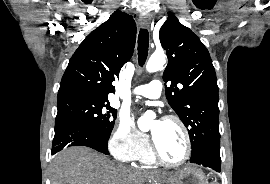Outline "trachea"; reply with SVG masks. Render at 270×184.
Masks as SVG:
<instances>
[{
	"label": "trachea",
	"mask_w": 270,
	"mask_h": 184,
	"mask_svg": "<svg viewBox=\"0 0 270 184\" xmlns=\"http://www.w3.org/2000/svg\"><path fill=\"white\" fill-rule=\"evenodd\" d=\"M149 47V36L146 29H141L138 35V61L139 65L143 66L147 56Z\"/></svg>",
	"instance_id": "3493384b"
}]
</instances>
